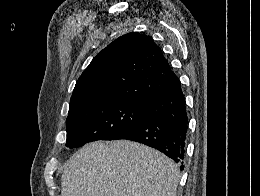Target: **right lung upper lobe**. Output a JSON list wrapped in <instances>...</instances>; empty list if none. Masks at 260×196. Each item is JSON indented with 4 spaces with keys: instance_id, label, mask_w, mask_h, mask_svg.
<instances>
[{
    "instance_id": "1",
    "label": "right lung upper lobe",
    "mask_w": 260,
    "mask_h": 196,
    "mask_svg": "<svg viewBox=\"0 0 260 196\" xmlns=\"http://www.w3.org/2000/svg\"><path fill=\"white\" fill-rule=\"evenodd\" d=\"M178 80L150 37L128 33L92 60L76 82L70 106L108 97H123L140 103Z\"/></svg>"
}]
</instances>
